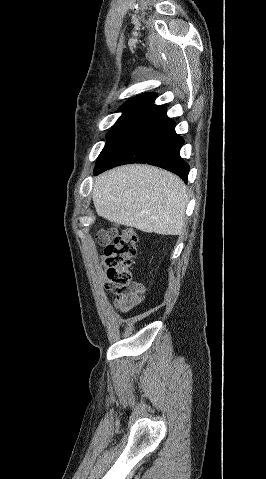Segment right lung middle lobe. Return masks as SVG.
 <instances>
[{
  "instance_id": "obj_1",
  "label": "right lung middle lobe",
  "mask_w": 266,
  "mask_h": 479,
  "mask_svg": "<svg viewBox=\"0 0 266 479\" xmlns=\"http://www.w3.org/2000/svg\"><path fill=\"white\" fill-rule=\"evenodd\" d=\"M136 116L135 113H123L121 117L117 120L115 125L112 127V129L109 131L107 137L108 141L105 145V147L108 145V143L113 139V137L134 117ZM104 147V149H105ZM103 149V150H104Z\"/></svg>"
}]
</instances>
